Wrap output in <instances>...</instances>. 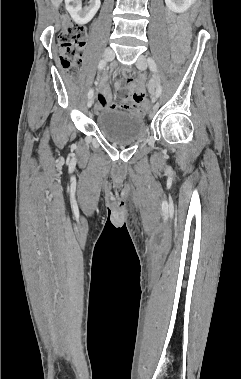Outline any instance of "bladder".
<instances>
[{
  "instance_id": "31cf9c89",
  "label": "bladder",
  "mask_w": 241,
  "mask_h": 379,
  "mask_svg": "<svg viewBox=\"0 0 241 379\" xmlns=\"http://www.w3.org/2000/svg\"><path fill=\"white\" fill-rule=\"evenodd\" d=\"M97 128L109 142L125 145L141 139L145 132V123L140 115L108 109L97 116Z\"/></svg>"
}]
</instances>
